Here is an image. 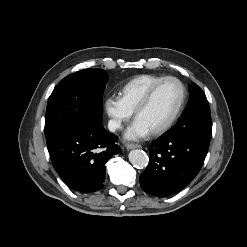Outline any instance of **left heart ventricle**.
I'll return each instance as SVG.
<instances>
[{"label":"left heart ventricle","mask_w":247,"mask_h":247,"mask_svg":"<svg viewBox=\"0 0 247 247\" xmlns=\"http://www.w3.org/2000/svg\"><path fill=\"white\" fill-rule=\"evenodd\" d=\"M181 98V89L175 82H167L156 92L151 103L137 116L150 132L164 125L173 115Z\"/></svg>","instance_id":"1"}]
</instances>
